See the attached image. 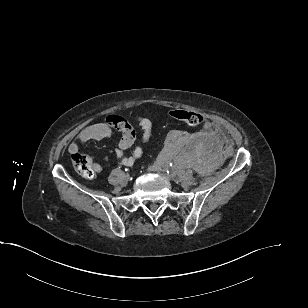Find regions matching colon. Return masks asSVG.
I'll return each mask as SVG.
<instances>
[{"instance_id":"obj_1","label":"colon","mask_w":308,"mask_h":308,"mask_svg":"<svg viewBox=\"0 0 308 308\" xmlns=\"http://www.w3.org/2000/svg\"><path fill=\"white\" fill-rule=\"evenodd\" d=\"M170 116L188 126H199L203 122V117L196 113L181 109L170 111ZM72 163L78 173L85 177H92L95 172L90 157L78 151L72 154Z\"/></svg>"}]
</instances>
